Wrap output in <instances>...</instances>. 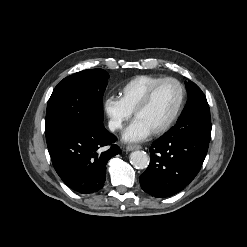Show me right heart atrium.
Instances as JSON below:
<instances>
[{
    "label": "right heart atrium",
    "instance_id": "d8ad5b80",
    "mask_svg": "<svg viewBox=\"0 0 247 247\" xmlns=\"http://www.w3.org/2000/svg\"><path fill=\"white\" fill-rule=\"evenodd\" d=\"M103 110L108 119V126L112 131L121 129L132 115V112L124 105L121 98L113 95L104 99Z\"/></svg>",
    "mask_w": 247,
    "mask_h": 247
}]
</instances>
